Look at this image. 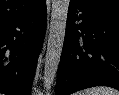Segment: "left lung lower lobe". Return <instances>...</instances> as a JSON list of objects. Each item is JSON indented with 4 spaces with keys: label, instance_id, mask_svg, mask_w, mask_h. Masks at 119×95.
Instances as JSON below:
<instances>
[{
    "label": "left lung lower lobe",
    "instance_id": "1",
    "mask_svg": "<svg viewBox=\"0 0 119 95\" xmlns=\"http://www.w3.org/2000/svg\"><path fill=\"white\" fill-rule=\"evenodd\" d=\"M94 86L119 90V15L70 0L55 95Z\"/></svg>",
    "mask_w": 119,
    "mask_h": 95
}]
</instances>
